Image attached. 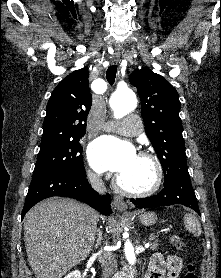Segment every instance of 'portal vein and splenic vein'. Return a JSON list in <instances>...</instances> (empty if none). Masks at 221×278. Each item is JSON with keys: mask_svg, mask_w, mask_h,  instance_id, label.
I'll list each match as a JSON object with an SVG mask.
<instances>
[{"mask_svg": "<svg viewBox=\"0 0 221 278\" xmlns=\"http://www.w3.org/2000/svg\"><path fill=\"white\" fill-rule=\"evenodd\" d=\"M145 247L148 248L149 247V243L145 244Z\"/></svg>", "mask_w": 221, "mask_h": 278, "instance_id": "portal-vein-and-splenic-vein-1", "label": "portal vein and splenic vein"}]
</instances>
